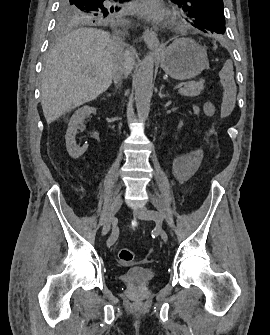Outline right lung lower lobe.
I'll return each mask as SVG.
<instances>
[{
  "instance_id": "1",
  "label": "right lung lower lobe",
  "mask_w": 270,
  "mask_h": 335,
  "mask_svg": "<svg viewBox=\"0 0 270 335\" xmlns=\"http://www.w3.org/2000/svg\"><path fill=\"white\" fill-rule=\"evenodd\" d=\"M105 1V0H104ZM103 1V2H104ZM115 1V0H114ZM124 1H128V0H119V2H121V3H123ZM104 5V4H103ZM115 5H116V3L114 2V5H112L113 7H115ZM105 6V5H104ZM108 6V5H107ZM121 6V5H120ZM110 7H111V5H110ZM119 9H120V7H119Z\"/></svg>"
}]
</instances>
